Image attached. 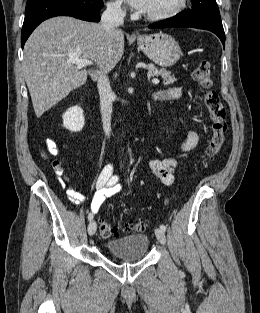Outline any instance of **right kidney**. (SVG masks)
<instances>
[{
  "mask_svg": "<svg viewBox=\"0 0 260 313\" xmlns=\"http://www.w3.org/2000/svg\"><path fill=\"white\" fill-rule=\"evenodd\" d=\"M84 125L85 118L81 107H71L63 114V126L66 129L72 132H79L83 129Z\"/></svg>",
  "mask_w": 260,
  "mask_h": 313,
  "instance_id": "ca27d5eb",
  "label": "right kidney"
}]
</instances>
